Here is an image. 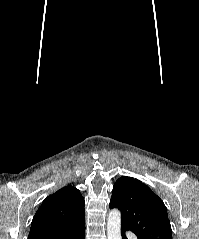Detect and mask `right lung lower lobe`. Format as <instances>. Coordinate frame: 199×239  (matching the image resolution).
Listing matches in <instances>:
<instances>
[{
    "label": "right lung lower lobe",
    "mask_w": 199,
    "mask_h": 239,
    "mask_svg": "<svg viewBox=\"0 0 199 239\" xmlns=\"http://www.w3.org/2000/svg\"><path fill=\"white\" fill-rule=\"evenodd\" d=\"M31 239H85V221L60 233L34 236Z\"/></svg>",
    "instance_id": "98d812e1"
}]
</instances>
